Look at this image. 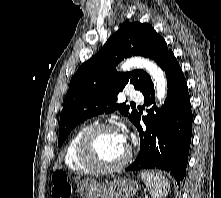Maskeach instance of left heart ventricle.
I'll return each instance as SVG.
<instances>
[{
    "label": "left heart ventricle",
    "instance_id": "obj_1",
    "mask_svg": "<svg viewBox=\"0 0 221 198\" xmlns=\"http://www.w3.org/2000/svg\"><path fill=\"white\" fill-rule=\"evenodd\" d=\"M94 151L101 163L113 165L124 158L127 144L122 141L118 131H103L96 137Z\"/></svg>",
    "mask_w": 221,
    "mask_h": 198
}]
</instances>
